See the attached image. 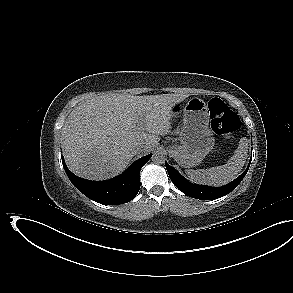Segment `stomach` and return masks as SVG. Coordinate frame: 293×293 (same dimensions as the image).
<instances>
[{
  "instance_id": "obj_1",
  "label": "stomach",
  "mask_w": 293,
  "mask_h": 293,
  "mask_svg": "<svg viewBox=\"0 0 293 293\" xmlns=\"http://www.w3.org/2000/svg\"><path fill=\"white\" fill-rule=\"evenodd\" d=\"M183 127L179 133L180 145L169 149L170 155L185 168L199 165L213 149L215 139L209 128V112L204 100L193 97L183 109ZM177 114L176 105L172 116Z\"/></svg>"
}]
</instances>
